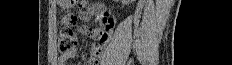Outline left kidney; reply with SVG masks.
I'll return each mask as SVG.
<instances>
[{"mask_svg":"<svg viewBox=\"0 0 232 65\" xmlns=\"http://www.w3.org/2000/svg\"><path fill=\"white\" fill-rule=\"evenodd\" d=\"M122 4H129V2H132V0H121Z\"/></svg>","mask_w":232,"mask_h":65,"instance_id":"1","label":"left kidney"}]
</instances>
